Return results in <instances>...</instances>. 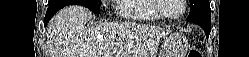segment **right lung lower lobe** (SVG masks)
I'll use <instances>...</instances> for the list:
<instances>
[{
	"mask_svg": "<svg viewBox=\"0 0 249 57\" xmlns=\"http://www.w3.org/2000/svg\"><path fill=\"white\" fill-rule=\"evenodd\" d=\"M62 7H52L49 6V8L47 9V13L44 19V24L46 25V23L54 16V14L61 9Z\"/></svg>",
	"mask_w": 249,
	"mask_h": 57,
	"instance_id": "obj_1",
	"label": "right lung lower lobe"
}]
</instances>
